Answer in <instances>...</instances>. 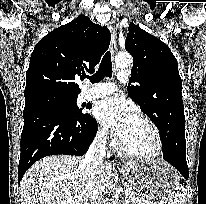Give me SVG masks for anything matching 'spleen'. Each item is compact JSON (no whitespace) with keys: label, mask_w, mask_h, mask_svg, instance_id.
Instances as JSON below:
<instances>
[{"label":"spleen","mask_w":206,"mask_h":204,"mask_svg":"<svg viewBox=\"0 0 206 204\" xmlns=\"http://www.w3.org/2000/svg\"><path fill=\"white\" fill-rule=\"evenodd\" d=\"M186 194L183 187H178L173 190L167 197L168 204H183Z\"/></svg>","instance_id":"1"}]
</instances>
